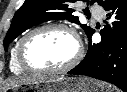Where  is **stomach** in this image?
<instances>
[{
    "label": "stomach",
    "mask_w": 127,
    "mask_h": 92,
    "mask_svg": "<svg viewBox=\"0 0 127 92\" xmlns=\"http://www.w3.org/2000/svg\"><path fill=\"white\" fill-rule=\"evenodd\" d=\"M26 87L37 92H100L97 84L86 77H58L52 81L26 84ZM20 88L22 86L13 87L10 92H18Z\"/></svg>",
    "instance_id": "stomach-1"
}]
</instances>
